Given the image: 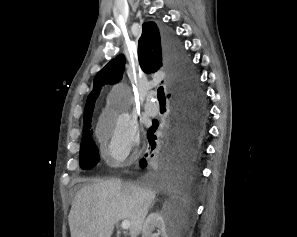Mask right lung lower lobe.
<instances>
[{
  "mask_svg": "<svg viewBox=\"0 0 297 237\" xmlns=\"http://www.w3.org/2000/svg\"><path fill=\"white\" fill-rule=\"evenodd\" d=\"M162 37L167 65L172 73V127L158 151L140 161L142 167L148 168L149 179L199 173V158L203 153L200 144L205 114L203 95L197 87L178 39L168 28L162 29ZM158 125V122L153 123L147 133L151 150L156 147L157 138L154 133Z\"/></svg>",
  "mask_w": 297,
  "mask_h": 237,
  "instance_id": "obj_1",
  "label": "right lung lower lobe"
}]
</instances>
